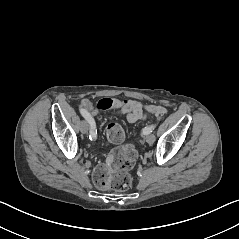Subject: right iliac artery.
I'll use <instances>...</instances> for the list:
<instances>
[{
  "mask_svg": "<svg viewBox=\"0 0 239 239\" xmlns=\"http://www.w3.org/2000/svg\"><path fill=\"white\" fill-rule=\"evenodd\" d=\"M80 113L87 120V122L90 124L89 138L91 140H95L97 138V130L95 128V124L93 122V119L91 118L90 114L85 109H80Z\"/></svg>",
  "mask_w": 239,
  "mask_h": 239,
  "instance_id": "right-iliac-artery-1",
  "label": "right iliac artery"
}]
</instances>
